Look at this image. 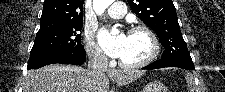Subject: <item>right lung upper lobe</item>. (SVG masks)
Wrapping results in <instances>:
<instances>
[{"label": "right lung upper lobe", "mask_w": 225, "mask_h": 92, "mask_svg": "<svg viewBox=\"0 0 225 92\" xmlns=\"http://www.w3.org/2000/svg\"><path fill=\"white\" fill-rule=\"evenodd\" d=\"M83 0H45L41 23L83 22Z\"/></svg>", "instance_id": "1"}]
</instances>
